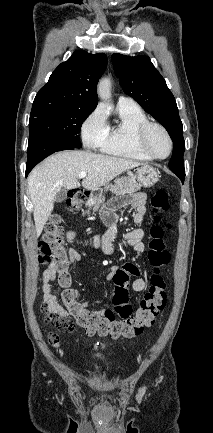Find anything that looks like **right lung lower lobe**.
Instances as JSON below:
<instances>
[{
  "label": "right lung lower lobe",
  "mask_w": 213,
  "mask_h": 433,
  "mask_svg": "<svg viewBox=\"0 0 213 433\" xmlns=\"http://www.w3.org/2000/svg\"><path fill=\"white\" fill-rule=\"evenodd\" d=\"M73 149H75L74 146L55 139L42 138L30 142L28 144L26 177L36 164H38L41 160L51 155L52 153L62 150Z\"/></svg>",
  "instance_id": "right-lung-lower-lobe-1"
}]
</instances>
